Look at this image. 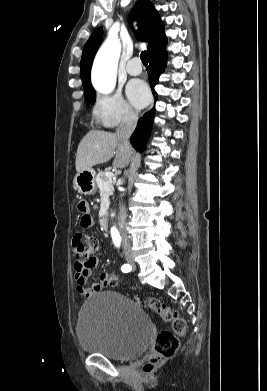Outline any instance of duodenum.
Wrapping results in <instances>:
<instances>
[{"instance_id":"1","label":"duodenum","mask_w":267,"mask_h":391,"mask_svg":"<svg viewBox=\"0 0 267 391\" xmlns=\"http://www.w3.org/2000/svg\"><path fill=\"white\" fill-rule=\"evenodd\" d=\"M100 225L103 230L108 229V217L105 213H102L100 215Z\"/></svg>"}]
</instances>
